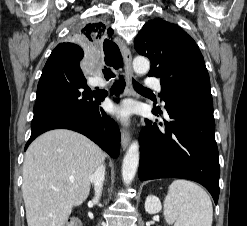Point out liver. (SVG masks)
Instances as JSON below:
<instances>
[{"mask_svg": "<svg viewBox=\"0 0 247 226\" xmlns=\"http://www.w3.org/2000/svg\"><path fill=\"white\" fill-rule=\"evenodd\" d=\"M103 151L66 129L35 139L25 153L22 193L28 226H65L74 206L88 197Z\"/></svg>", "mask_w": 247, "mask_h": 226, "instance_id": "6515ba94", "label": "liver"}]
</instances>
